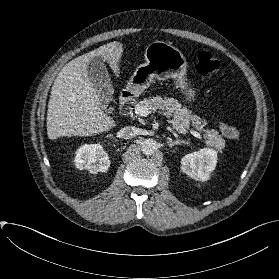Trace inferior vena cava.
Wrapping results in <instances>:
<instances>
[{
    "label": "inferior vena cava",
    "mask_w": 279,
    "mask_h": 279,
    "mask_svg": "<svg viewBox=\"0 0 279 279\" xmlns=\"http://www.w3.org/2000/svg\"><path fill=\"white\" fill-rule=\"evenodd\" d=\"M118 135L123 139L133 138L137 135V128L134 126H126L118 132Z\"/></svg>",
    "instance_id": "inferior-vena-cava-1"
}]
</instances>
